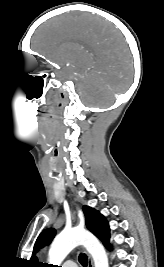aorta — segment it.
Returning <instances> with one entry per match:
<instances>
[{
  "mask_svg": "<svg viewBox=\"0 0 164 267\" xmlns=\"http://www.w3.org/2000/svg\"><path fill=\"white\" fill-rule=\"evenodd\" d=\"M78 245L84 246L91 254L95 267H109L108 256L103 245L94 235L79 229L63 231L56 236L49 250V262L54 265L61 264Z\"/></svg>",
  "mask_w": 164,
  "mask_h": 267,
  "instance_id": "aorta-1",
  "label": "aorta"
}]
</instances>
